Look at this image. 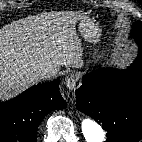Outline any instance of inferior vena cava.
I'll list each match as a JSON object with an SVG mask.
<instances>
[{
    "label": "inferior vena cava",
    "mask_w": 142,
    "mask_h": 142,
    "mask_svg": "<svg viewBox=\"0 0 142 142\" xmlns=\"http://www.w3.org/2000/svg\"><path fill=\"white\" fill-rule=\"evenodd\" d=\"M57 74V71L52 68V67H41L40 69H38L36 71V76L38 79L42 80V79H48L50 77H53L54 75Z\"/></svg>",
    "instance_id": "1"
}]
</instances>
